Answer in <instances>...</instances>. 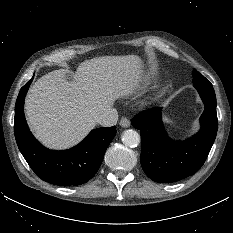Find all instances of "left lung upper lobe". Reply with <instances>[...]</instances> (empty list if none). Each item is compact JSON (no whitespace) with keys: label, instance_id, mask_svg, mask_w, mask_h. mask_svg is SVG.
<instances>
[{"label":"left lung upper lobe","instance_id":"1","mask_svg":"<svg viewBox=\"0 0 233 233\" xmlns=\"http://www.w3.org/2000/svg\"><path fill=\"white\" fill-rule=\"evenodd\" d=\"M193 83L194 84H207L209 83V81L202 75L200 74L198 71H196V69L193 70Z\"/></svg>","mask_w":233,"mask_h":233}]
</instances>
